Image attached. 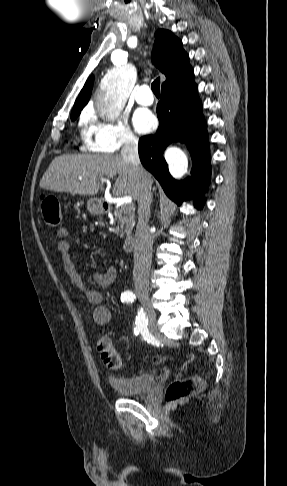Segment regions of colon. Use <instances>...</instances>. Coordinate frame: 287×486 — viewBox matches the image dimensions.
Here are the masks:
<instances>
[{
    "instance_id": "1",
    "label": "colon",
    "mask_w": 287,
    "mask_h": 486,
    "mask_svg": "<svg viewBox=\"0 0 287 486\" xmlns=\"http://www.w3.org/2000/svg\"><path fill=\"white\" fill-rule=\"evenodd\" d=\"M40 206L45 223L49 226H57L62 216L59 200L53 195L44 194L40 198ZM96 346L102 362L107 368L119 369L122 366V358L108 336L102 335L98 337ZM166 358L165 356L157 355L153 357V363L160 364ZM202 387V381L196 378L173 381L166 389V402L170 405H175Z\"/></svg>"
}]
</instances>
